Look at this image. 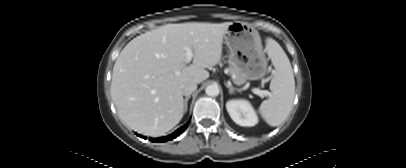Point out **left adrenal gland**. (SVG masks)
<instances>
[{
	"mask_svg": "<svg viewBox=\"0 0 406 168\" xmlns=\"http://www.w3.org/2000/svg\"><path fill=\"white\" fill-rule=\"evenodd\" d=\"M225 86L229 89V93L232 94L236 89L229 86L227 83H225Z\"/></svg>",
	"mask_w": 406,
	"mask_h": 168,
	"instance_id": "left-adrenal-gland-1",
	"label": "left adrenal gland"
}]
</instances>
